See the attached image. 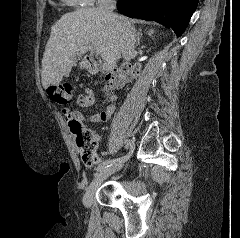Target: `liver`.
Returning a JSON list of instances; mask_svg holds the SVG:
<instances>
[{"mask_svg":"<svg viewBox=\"0 0 240 238\" xmlns=\"http://www.w3.org/2000/svg\"><path fill=\"white\" fill-rule=\"evenodd\" d=\"M132 26V21L120 16ZM123 29L96 8H81L64 14L51 28L42 58L41 83L44 89L69 76L75 59L93 47L114 65L121 55Z\"/></svg>","mask_w":240,"mask_h":238,"instance_id":"obj_1","label":"liver"}]
</instances>
